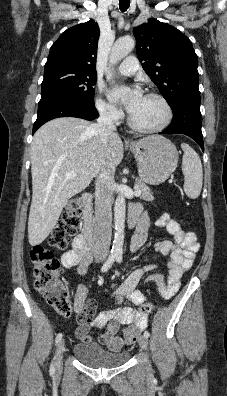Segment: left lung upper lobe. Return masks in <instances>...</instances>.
<instances>
[{"instance_id":"left-lung-upper-lobe-1","label":"left lung upper lobe","mask_w":227,"mask_h":396,"mask_svg":"<svg viewBox=\"0 0 227 396\" xmlns=\"http://www.w3.org/2000/svg\"><path fill=\"white\" fill-rule=\"evenodd\" d=\"M142 67L172 106L180 97L200 95L197 55L178 29L149 19L133 30Z\"/></svg>"}]
</instances>
